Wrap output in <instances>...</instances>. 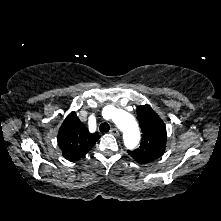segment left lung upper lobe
<instances>
[{
    "mask_svg": "<svg viewBox=\"0 0 221 221\" xmlns=\"http://www.w3.org/2000/svg\"><path fill=\"white\" fill-rule=\"evenodd\" d=\"M137 119L142 130L139 149L129 151L139 163H149L163 155L166 146V126L149 105L138 106Z\"/></svg>",
    "mask_w": 221,
    "mask_h": 221,
    "instance_id": "1",
    "label": "left lung upper lobe"
}]
</instances>
